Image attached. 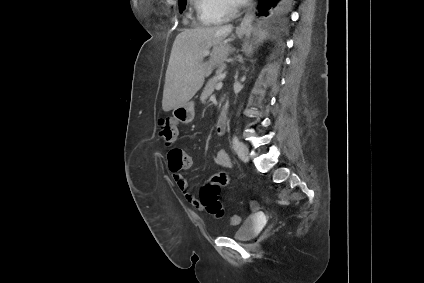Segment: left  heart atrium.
<instances>
[{
  "label": "left heart atrium",
  "instance_id": "39dd6f15",
  "mask_svg": "<svg viewBox=\"0 0 424 283\" xmlns=\"http://www.w3.org/2000/svg\"><path fill=\"white\" fill-rule=\"evenodd\" d=\"M237 2H238L239 4H243V3L247 2V0H237Z\"/></svg>",
  "mask_w": 424,
  "mask_h": 283
}]
</instances>
